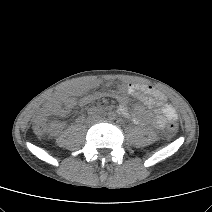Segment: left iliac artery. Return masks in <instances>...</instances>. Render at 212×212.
Returning <instances> with one entry per match:
<instances>
[{
	"mask_svg": "<svg viewBox=\"0 0 212 212\" xmlns=\"http://www.w3.org/2000/svg\"><path fill=\"white\" fill-rule=\"evenodd\" d=\"M117 122L121 123V120H117Z\"/></svg>",
	"mask_w": 212,
	"mask_h": 212,
	"instance_id": "left-iliac-artery-1",
	"label": "left iliac artery"
}]
</instances>
